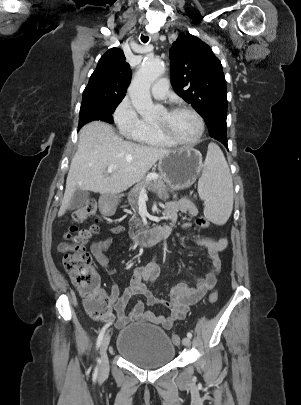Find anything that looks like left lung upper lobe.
Masks as SVG:
<instances>
[{
	"label": "left lung upper lobe",
	"instance_id": "left-lung-upper-lobe-1",
	"mask_svg": "<svg viewBox=\"0 0 301 405\" xmlns=\"http://www.w3.org/2000/svg\"><path fill=\"white\" fill-rule=\"evenodd\" d=\"M169 54L174 90L202 115L211 137H226L227 89L221 62L191 34L178 37Z\"/></svg>",
	"mask_w": 301,
	"mask_h": 405
}]
</instances>
